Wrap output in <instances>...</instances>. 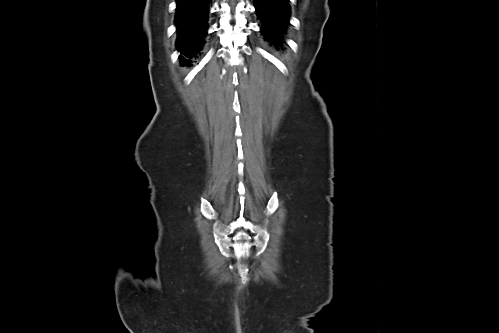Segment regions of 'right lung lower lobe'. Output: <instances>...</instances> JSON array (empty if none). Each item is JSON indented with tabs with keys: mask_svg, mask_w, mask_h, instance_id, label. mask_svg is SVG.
I'll list each match as a JSON object with an SVG mask.
<instances>
[{
	"mask_svg": "<svg viewBox=\"0 0 499 333\" xmlns=\"http://www.w3.org/2000/svg\"><path fill=\"white\" fill-rule=\"evenodd\" d=\"M176 27L178 30L177 47L188 58L199 52L206 35V18L210 0H176ZM179 56L181 63L189 60Z\"/></svg>",
	"mask_w": 499,
	"mask_h": 333,
	"instance_id": "98d812e1",
	"label": "right lung lower lobe"
}]
</instances>
